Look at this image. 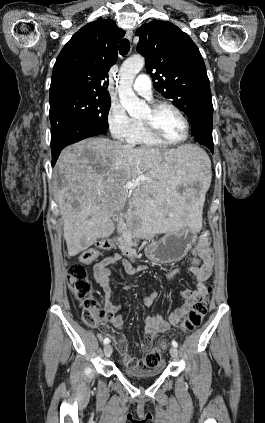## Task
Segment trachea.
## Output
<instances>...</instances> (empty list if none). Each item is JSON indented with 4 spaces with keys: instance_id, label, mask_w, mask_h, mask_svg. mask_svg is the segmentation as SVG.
Returning a JSON list of instances; mask_svg holds the SVG:
<instances>
[{
    "instance_id": "obj_1",
    "label": "trachea",
    "mask_w": 265,
    "mask_h": 423,
    "mask_svg": "<svg viewBox=\"0 0 265 423\" xmlns=\"http://www.w3.org/2000/svg\"><path fill=\"white\" fill-rule=\"evenodd\" d=\"M130 50V42L128 39H122L119 43V53L121 55H126Z\"/></svg>"
}]
</instances>
